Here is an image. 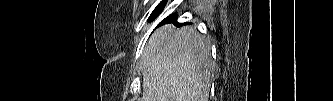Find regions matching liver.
I'll return each instance as SVG.
<instances>
[{
  "label": "liver",
  "instance_id": "6515ba94",
  "mask_svg": "<svg viewBox=\"0 0 333 101\" xmlns=\"http://www.w3.org/2000/svg\"><path fill=\"white\" fill-rule=\"evenodd\" d=\"M195 29L167 25L150 38L141 65V101H208L215 63Z\"/></svg>",
  "mask_w": 333,
  "mask_h": 101
}]
</instances>
